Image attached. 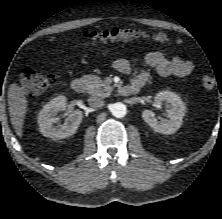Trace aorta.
<instances>
[{
	"label": "aorta",
	"mask_w": 222,
	"mask_h": 219,
	"mask_svg": "<svg viewBox=\"0 0 222 219\" xmlns=\"http://www.w3.org/2000/svg\"><path fill=\"white\" fill-rule=\"evenodd\" d=\"M111 112L114 117L122 118L126 115V106L121 102H117L112 105Z\"/></svg>",
	"instance_id": "obj_1"
}]
</instances>
